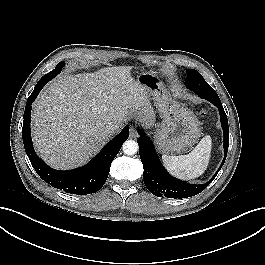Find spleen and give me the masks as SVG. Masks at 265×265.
<instances>
[{"instance_id":"spleen-1","label":"spleen","mask_w":265,"mask_h":265,"mask_svg":"<svg viewBox=\"0 0 265 265\" xmlns=\"http://www.w3.org/2000/svg\"><path fill=\"white\" fill-rule=\"evenodd\" d=\"M212 149L209 135L203 137L199 144L187 155H163L162 161L166 169L174 176L190 180L199 177L207 169Z\"/></svg>"}]
</instances>
